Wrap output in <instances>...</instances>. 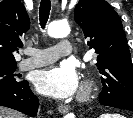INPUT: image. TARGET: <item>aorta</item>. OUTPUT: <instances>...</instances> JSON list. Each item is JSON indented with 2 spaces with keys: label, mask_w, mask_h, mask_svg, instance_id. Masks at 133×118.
I'll list each match as a JSON object with an SVG mask.
<instances>
[{
  "label": "aorta",
  "mask_w": 133,
  "mask_h": 118,
  "mask_svg": "<svg viewBox=\"0 0 133 118\" xmlns=\"http://www.w3.org/2000/svg\"><path fill=\"white\" fill-rule=\"evenodd\" d=\"M47 32L50 37L63 38L69 35L70 27L66 23L56 21L49 24ZM64 118H75V115L68 113Z\"/></svg>",
  "instance_id": "obj_1"
}]
</instances>
